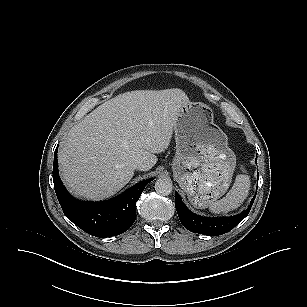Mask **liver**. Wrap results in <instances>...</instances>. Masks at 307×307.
<instances>
[{"label": "liver", "mask_w": 307, "mask_h": 307, "mask_svg": "<svg viewBox=\"0 0 307 307\" xmlns=\"http://www.w3.org/2000/svg\"><path fill=\"white\" fill-rule=\"evenodd\" d=\"M188 102L181 89L136 90L98 106L59 148L66 187L88 200L113 196L134 176L133 162L144 163L141 171L157 163L155 154L170 145L179 110Z\"/></svg>", "instance_id": "1"}]
</instances>
